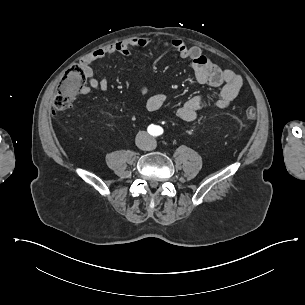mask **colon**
Instances as JSON below:
<instances>
[{"label":"colon","instance_id":"1","mask_svg":"<svg viewBox=\"0 0 305 305\" xmlns=\"http://www.w3.org/2000/svg\"><path fill=\"white\" fill-rule=\"evenodd\" d=\"M84 80L85 73L82 68L78 66L66 68L57 84V94L53 99V108H67L70 102L76 99L78 90L81 88ZM245 116L253 118L255 116V109L248 107L245 110Z\"/></svg>","mask_w":305,"mask_h":305}]
</instances>
